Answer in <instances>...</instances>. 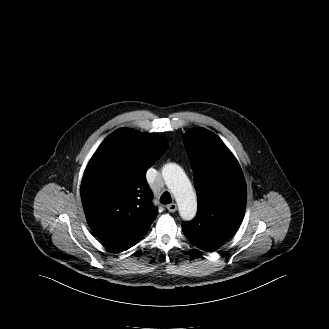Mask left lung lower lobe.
I'll list each match as a JSON object with an SVG mask.
<instances>
[{
	"instance_id": "1",
	"label": "left lung lower lobe",
	"mask_w": 329,
	"mask_h": 329,
	"mask_svg": "<svg viewBox=\"0 0 329 329\" xmlns=\"http://www.w3.org/2000/svg\"><path fill=\"white\" fill-rule=\"evenodd\" d=\"M231 236L232 235L229 234H220L217 239L193 242V244L204 251L211 252L222 246V244Z\"/></svg>"
}]
</instances>
